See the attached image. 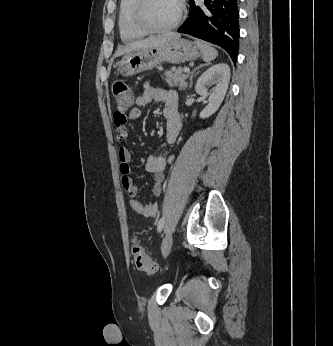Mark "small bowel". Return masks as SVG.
I'll return each instance as SVG.
<instances>
[{"mask_svg": "<svg viewBox=\"0 0 333 346\" xmlns=\"http://www.w3.org/2000/svg\"><path fill=\"white\" fill-rule=\"evenodd\" d=\"M164 103L163 115L167 120L166 141L173 142L179 135L181 129V115L179 110V97L176 91L162 87H156L151 84H145L141 95L134 100L135 107L128 113V120H137L140 115V107L146 106L150 102ZM126 119L116 116L114 124L116 126V136L121 142L125 141L128 136L125 127ZM118 157L120 160V172L122 174V185L130 197V207L139 215L152 218L157 213V204H143L137 199L138 187L135 185L131 177V153L122 146L119 148ZM171 160V158H170ZM166 159L163 156H150L146 161V171L153 176L152 193L158 197L161 195L163 187L162 183L165 177Z\"/></svg>", "mask_w": 333, "mask_h": 346, "instance_id": "obj_1", "label": "small bowel"}]
</instances>
